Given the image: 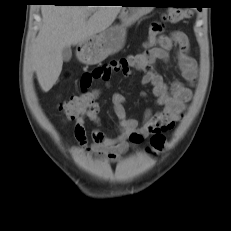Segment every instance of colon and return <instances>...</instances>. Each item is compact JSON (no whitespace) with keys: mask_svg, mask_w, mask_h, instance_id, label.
Listing matches in <instances>:
<instances>
[{"mask_svg":"<svg viewBox=\"0 0 231 231\" xmlns=\"http://www.w3.org/2000/svg\"><path fill=\"white\" fill-rule=\"evenodd\" d=\"M190 16L188 10L174 8L170 9L165 15L166 20L177 23ZM93 92H82L78 95L72 96L70 99L63 101L59 105L60 111L63 113L66 119L74 120L83 115L94 104ZM166 145L165 137L160 134H153L150 139V144L147 147V152L150 155H157L160 153Z\"/></svg>","mask_w":231,"mask_h":231,"instance_id":"1","label":"colon"}]
</instances>
